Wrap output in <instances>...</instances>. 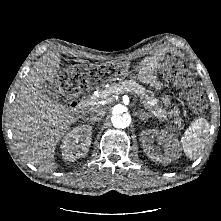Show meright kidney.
Masks as SVG:
<instances>
[{
	"instance_id": "ca27d5eb",
	"label": "right kidney",
	"mask_w": 221,
	"mask_h": 221,
	"mask_svg": "<svg viewBox=\"0 0 221 221\" xmlns=\"http://www.w3.org/2000/svg\"><path fill=\"white\" fill-rule=\"evenodd\" d=\"M91 131L90 126L81 125L64 136L61 150L65 161L74 162L86 155L91 146Z\"/></svg>"
}]
</instances>
